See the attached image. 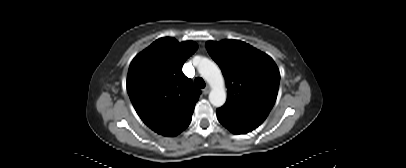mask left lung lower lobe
<instances>
[{
	"label": "left lung lower lobe",
	"instance_id": "0a47b994",
	"mask_svg": "<svg viewBox=\"0 0 406 168\" xmlns=\"http://www.w3.org/2000/svg\"><path fill=\"white\" fill-rule=\"evenodd\" d=\"M219 122L234 134H245L256 129L263 121L257 118L241 115L227 109H217Z\"/></svg>",
	"mask_w": 406,
	"mask_h": 168
}]
</instances>
